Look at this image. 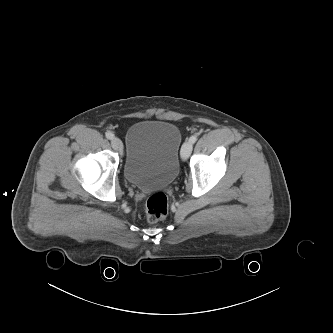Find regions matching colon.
<instances>
[{"label":"colon","mask_w":333,"mask_h":333,"mask_svg":"<svg viewBox=\"0 0 333 333\" xmlns=\"http://www.w3.org/2000/svg\"><path fill=\"white\" fill-rule=\"evenodd\" d=\"M145 213L151 223L164 219L168 213L167 196L161 192L151 195L147 200Z\"/></svg>","instance_id":"5ec220e1"}]
</instances>
